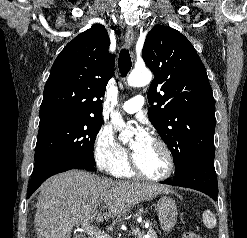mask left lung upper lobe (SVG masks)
Wrapping results in <instances>:
<instances>
[{"label": "left lung upper lobe", "mask_w": 247, "mask_h": 238, "mask_svg": "<svg viewBox=\"0 0 247 238\" xmlns=\"http://www.w3.org/2000/svg\"><path fill=\"white\" fill-rule=\"evenodd\" d=\"M142 56L155 75L148 117L172 153L175 177L193 160L214 162L215 101L195 48L177 30L156 25Z\"/></svg>", "instance_id": "left-lung-upper-lobe-1"}]
</instances>
